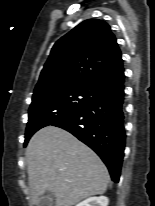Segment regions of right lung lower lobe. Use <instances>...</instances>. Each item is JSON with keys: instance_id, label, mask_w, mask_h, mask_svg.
Listing matches in <instances>:
<instances>
[{"instance_id": "98d812e1", "label": "right lung lower lobe", "mask_w": 155, "mask_h": 206, "mask_svg": "<svg viewBox=\"0 0 155 206\" xmlns=\"http://www.w3.org/2000/svg\"><path fill=\"white\" fill-rule=\"evenodd\" d=\"M124 79L101 91L88 105L53 126L72 133L93 149L119 181L125 148Z\"/></svg>"}]
</instances>
